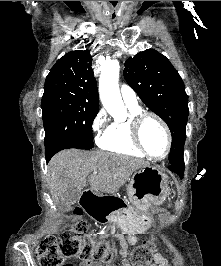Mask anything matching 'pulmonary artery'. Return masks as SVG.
Instances as JSON below:
<instances>
[{
  "instance_id": "obj_1",
  "label": "pulmonary artery",
  "mask_w": 221,
  "mask_h": 266,
  "mask_svg": "<svg viewBox=\"0 0 221 266\" xmlns=\"http://www.w3.org/2000/svg\"><path fill=\"white\" fill-rule=\"evenodd\" d=\"M121 96H122L124 103L128 107H130V108H138L139 107L136 93L134 92V90L130 86H128L126 84L121 86Z\"/></svg>"
}]
</instances>
